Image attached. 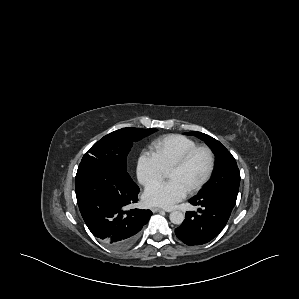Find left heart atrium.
Returning a JSON list of instances; mask_svg holds the SVG:
<instances>
[{"label":"left heart atrium","instance_id":"1","mask_svg":"<svg viewBox=\"0 0 299 299\" xmlns=\"http://www.w3.org/2000/svg\"><path fill=\"white\" fill-rule=\"evenodd\" d=\"M187 190L177 181L158 182L148 186L144 192V201L151 206L171 208L181 201Z\"/></svg>","mask_w":299,"mask_h":299}]
</instances>
